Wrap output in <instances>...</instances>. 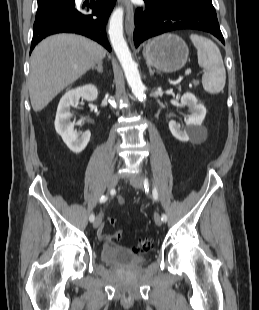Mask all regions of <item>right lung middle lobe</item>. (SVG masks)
<instances>
[{
	"instance_id": "dd1d6c3e",
	"label": "right lung middle lobe",
	"mask_w": 259,
	"mask_h": 310,
	"mask_svg": "<svg viewBox=\"0 0 259 310\" xmlns=\"http://www.w3.org/2000/svg\"><path fill=\"white\" fill-rule=\"evenodd\" d=\"M72 2L73 0H38L37 11H41L50 7L68 5Z\"/></svg>"
}]
</instances>
